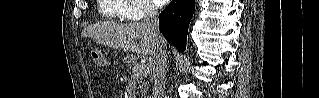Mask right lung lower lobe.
I'll list each match as a JSON object with an SVG mask.
<instances>
[{"label": "right lung lower lobe", "mask_w": 319, "mask_h": 98, "mask_svg": "<svg viewBox=\"0 0 319 98\" xmlns=\"http://www.w3.org/2000/svg\"><path fill=\"white\" fill-rule=\"evenodd\" d=\"M195 0H172L159 15L160 31L178 51H184Z\"/></svg>", "instance_id": "obj_1"}]
</instances>
